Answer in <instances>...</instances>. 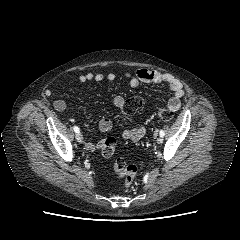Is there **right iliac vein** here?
Listing matches in <instances>:
<instances>
[{
  "label": "right iliac vein",
  "mask_w": 240,
  "mask_h": 240,
  "mask_svg": "<svg viewBox=\"0 0 240 240\" xmlns=\"http://www.w3.org/2000/svg\"><path fill=\"white\" fill-rule=\"evenodd\" d=\"M76 140H77L79 143H81V142L83 141V136H82L81 133H77V134H76Z\"/></svg>",
  "instance_id": "right-iliac-vein-1"
}]
</instances>
